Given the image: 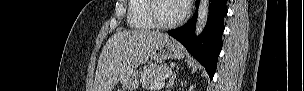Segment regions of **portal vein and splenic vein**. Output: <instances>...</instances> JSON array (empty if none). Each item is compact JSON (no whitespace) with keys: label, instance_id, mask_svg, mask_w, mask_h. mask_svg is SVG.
<instances>
[{"label":"portal vein and splenic vein","instance_id":"obj_1","mask_svg":"<svg viewBox=\"0 0 304 91\" xmlns=\"http://www.w3.org/2000/svg\"><path fill=\"white\" fill-rule=\"evenodd\" d=\"M164 85V83H157V84H155L151 89L153 90V91H155V90H157V89H159L161 86H163Z\"/></svg>","mask_w":304,"mask_h":91}]
</instances>
